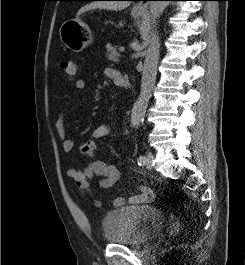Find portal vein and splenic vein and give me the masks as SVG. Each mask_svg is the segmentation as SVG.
Here are the masks:
<instances>
[{"instance_id":"obj_1","label":"portal vein and splenic vein","mask_w":245,"mask_h":265,"mask_svg":"<svg viewBox=\"0 0 245 265\" xmlns=\"http://www.w3.org/2000/svg\"><path fill=\"white\" fill-rule=\"evenodd\" d=\"M124 50H125V48L123 46L119 48L120 52H124Z\"/></svg>"}]
</instances>
